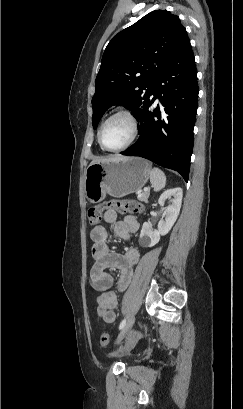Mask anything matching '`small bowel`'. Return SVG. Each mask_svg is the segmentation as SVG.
I'll return each mask as SVG.
<instances>
[{
  "mask_svg": "<svg viewBox=\"0 0 243 409\" xmlns=\"http://www.w3.org/2000/svg\"><path fill=\"white\" fill-rule=\"evenodd\" d=\"M102 218L111 229L108 230L103 225H97L90 232L94 259L90 278L92 287L99 293L96 298L97 314L103 323L111 324L117 318V297L111 290L113 277L107 272V269L119 271L117 288L119 291H124L132 279L133 267L139 261V252L132 246L128 247L123 254L111 251L107 241L110 234L128 241L131 234L137 231L138 223L136 218L130 215L118 220L114 210L105 211Z\"/></svg>",
  "mask_w": 243,
  "mask_h": 409,
  "instance_id": "1",
  "label": "small bowel"
}]
</instances>
